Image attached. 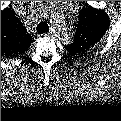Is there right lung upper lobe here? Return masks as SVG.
<instances>
[{
	"mask_svg": "<svg viewBox=\"0 0 121 121\" xmlns=\"http://www.w3.org/2000/svg\"><path fill=\"white\" fill-rule=\"evenodd\" d=\"M33 40L12 9L1 11V53L16 57L28 50Z\"/></svg>",
	"mask_w": 121,
	"mask_h": 121,
	"instance_id": "right-lung-upper-lobe-1",
	"label": "right lung upper lobe"
}]
</instances>
